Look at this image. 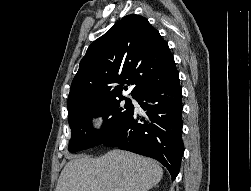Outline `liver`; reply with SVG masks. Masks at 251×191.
Here are the masks:
<instances>
[{
    "instance_id": "1",
    "label": "liver",
    "mask_w": 251,
    "mask_h": 191,
    "mask_svg": "<svg viewBox=\"0 0 251 191\" xmlns=\"http://www.w3.org/2000/svg\"><path fill=\"white\" fill-rule=\"evenodd\" d=\"M162 175L154 159L111 149L102 157L75 155L62 169L55 191H148Z\"/></svg>"
}]
</instances>
